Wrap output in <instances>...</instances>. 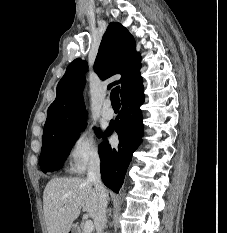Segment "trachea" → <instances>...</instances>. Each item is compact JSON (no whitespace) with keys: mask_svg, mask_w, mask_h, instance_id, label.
I'll list each match as a JSON object with an SVG mask.
<instances>
[{"mask_svg":"<svg viewBox=\"0 0 227 233\" xmlns=\"http://www.w3.org/2000/svg\"><path fill=\"white\" fill-rule=\"evenodd\" d=\"M110 99L113 106L120 105V99H119V87H115L110 94Z\"/></svg>","mask_w":227,"mask_h":233,"instance_id":"obj_1","label":"trachea"}]
</instances>
